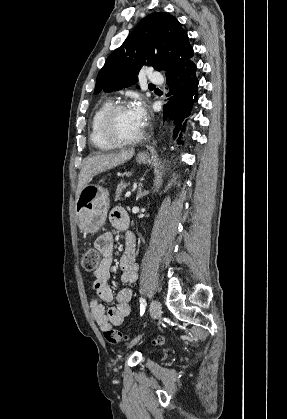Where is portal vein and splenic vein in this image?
<instances>
[{"label":"portal vein and splenic vein","mask_w":287,"mask_h":419,"mask_svg":"<svg viewBox=\"0 0 287 419\" xmlns=\"http://www.w3.org/2000/svg\"><path fill=\"white\" fill-rule=\"evenodd\" d=\"M131 195V191H127L125 197H129Z\"/></svg>","instance_id":"portal-vein-and-splenic-vein-1"}]
</instances>
